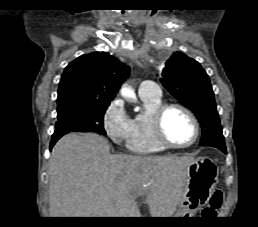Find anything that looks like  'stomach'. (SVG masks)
I'll use <instances>...</instances> for the list:
<instances>
[{"label":"stomach","mask_w":258,"mask_h":227,"mask_svg":"<svg viewBox=\"0 0 258 227\" xmlns=\"http://www.w3.org/2000/svg\"><path fill=\"white\" fill-rule=\"evenodd\" d=\"M217 182L218 168L213 160L197 158L186 166L179 209L173 217H191L209 201Z\"/></svg>","instance_id":"stomach-1"}]
</instances>
